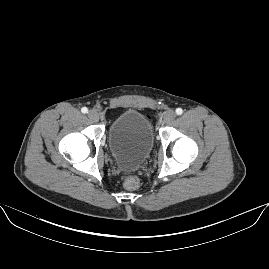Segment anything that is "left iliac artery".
<instances>
[{"label":"left iliac artery","instance_id":"obj_1","mask_svg":"<svg viewBox=\"0 0 269 269\" xmlns=\"http://www.w3.org/2000/svg\"><path fill=\"white\" fill-rule=\"evenodd\" d=\"M183 113V110L181 108L176 109V114L181 115Z\"/></svg>","mask_w":269,"mask_h":269}]
</instances>
